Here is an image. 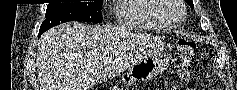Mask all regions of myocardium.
<instances>
[{
  "mask_svg": "<svg viewBox=\"0 0 237 90\" xmlns=\"http://www.w3.org/2000/svg\"><path fill=\"white\" fill-rule=\"evenodd\" d=\"M162 3L167 2H179V5H184L181 0H159ZM178 11H162V13L158 14V21L167 29L176 30L182 27L185 22V11H181V9H177ZM179 15V18L176 23L171 24L168 21H173V18H176Z\"/></svg>",
  "mask_w": 237,
  "mask_h": 90,
  "instance_id": "f54148a6",
  "label": "myocardium"
}]
</instances>
